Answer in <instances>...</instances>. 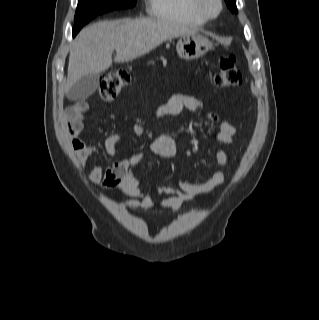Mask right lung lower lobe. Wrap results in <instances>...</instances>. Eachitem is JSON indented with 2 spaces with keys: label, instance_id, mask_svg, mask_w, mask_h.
Returning a JSON list of instances; mask_svg holds the SVG:
<instances>
[{
  "label": "right lung lower lobe",
  "instance_id": "obj_1",
  "mask_svg": "<svg viewBox=\"0 0 319 320\" xmlns=\"http://www.w3.org/2000/svg\"><path fill=\"white\" fill-rule=\"evenodd\" d=\"M78 32H73V36H75Z\"/></svg>",
  "mask_w": 319,
  "mask_h": 320
}]
</instances>
